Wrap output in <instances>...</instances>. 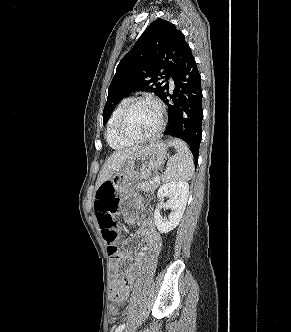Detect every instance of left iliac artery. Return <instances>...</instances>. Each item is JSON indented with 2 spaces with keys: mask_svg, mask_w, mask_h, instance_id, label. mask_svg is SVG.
<instances>
[{
  "mask_svg": "<svg viewBox=\"0 0 291 332\" xmlns=\"http://www.w3.org/2000/svg\"><path fill=\"white\" fill-rule=\"evenodd\" d=\"M125 326H126V324H125V323H124V324H121V325H119V326L116 328L115 332H122V330L125 328Z\"/></svg>",
  "mask_w": 291,
  "mask_h": 332,
  "instance_id": "obj_1",
  "label": "left iliac artery"
}]
</instances>
